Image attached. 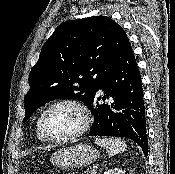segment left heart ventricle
Returning a JSON list of instances; mask_svg holds the SVG:
<instances>
[{"instance_id":"obj_1","label":"left heart ventricle","mask_w":175,"mask_h":174,"mask_svg":"<svg viewBox=\"0 0 175 174\" xmlns=\"http://www.w3.org/2000/svg\"><path fill=\"white\" fill-rule=\"evenodd\" d=\"M81 125L80 114L70 106H57L45 117L44 127L47 134L54 138L71 135Z\"/></svg>"}]
</instances>
